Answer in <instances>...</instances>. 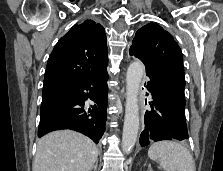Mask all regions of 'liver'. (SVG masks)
Masks as SVG:
<instances>
[{
    "mask_svg": "<svg viewBox=\"0 0 223 171\" xmlns=\"http://www.w3.org/2000/svg\"><path fill=\"white\" fill-rule=\"evenodd\" d=\"M97 157L90 138L72 130L54 131L38 141L33 171H90Z\"/></svg>",
    "mask_w": 223,
    "mask_h": 171,
    "instance_id": "liver-1",
    "label": "liver"
}]
</instances>
